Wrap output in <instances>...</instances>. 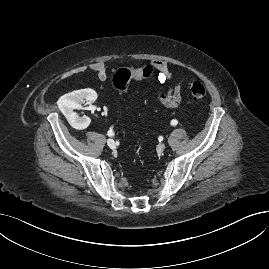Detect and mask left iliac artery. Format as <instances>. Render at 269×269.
I'll use <instances>...</instances> for the list:
<instances>
[{"instance_id":"left-iliac-artery-1","label":"left iliac artery","mask_w":269,"mask_h":269,"mask_svg":"<svg viewBox=\"0 0 269 269\" xmlns=\"http://www.w3.org/2000/svg\"><path fill=\"white\" fill-rule=\"evenodd\" d=\"M178 124V121L176 120V119H173L172 121H171V125L172 126H176Z\"/></svg>"}]
</instances>
